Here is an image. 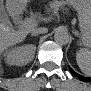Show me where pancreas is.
Masks as SVG:
<instances>
[{
    "label": "pancreas",
    "instance_id": "pancreas-1",
    "mask_svg": "<svg viewBox=\"0 0 91 91\" xmlns=\"http://www.w3.org/2000/svg\"><path fill=\"white\" fill-rule=\"evenodd\" d=\"M57 6H58V4H57L56 2H53V3H51V5H50V7H52V8L57 7Z\"/></svg>",
    "mask_w": 91,
    "mask_h": 91
}]
</instances>
